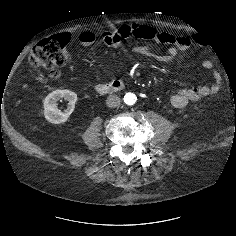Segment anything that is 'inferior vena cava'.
<instances>
[{
    "instance_id": "602c4592",
    "label": "inferior vena cava",
    "mask_w": 236,
    "mask_h": 236,
    "mask_svg": "<svg viewBox=\"0 0 236 236\" xmlns=\"http://www.w3.org/2000/svg\"><path fill=\"white\" fill-rule=\"evenodd\" d=\"M106 104L110 108H115L120 105V98L117 95H109L106 99Z\"/></svg>"
}]
</instances>
